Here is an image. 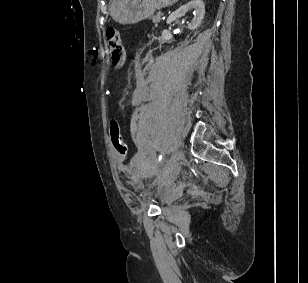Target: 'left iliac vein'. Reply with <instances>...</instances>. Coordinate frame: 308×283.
Returning <instances> with one entry per match:
<instances>
[{"label":"left iliac vein","mask_w":308,"mask_h":283,"mask_svg":"<svg viewBox=\"0 0 308 283\" xmlns=\"http://www.w3.org/2000/svg\"><path fill=\"white\" fill-rule=\"evenodd\" d=\"M184 158V151L178 150L170 159V161L164 167L161 175L157 179V182H161L168 178V176L175 170L178 163Z\"/></svg>","instance_id":"4c4485c4"}]
</instances>
